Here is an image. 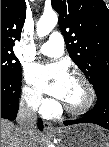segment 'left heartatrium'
Here are the masks:
<instances>
[{
    "instance_id": "obj_1",
    "label": "left heart atrium",
    "mask_w": 109,
    "mask_h": 147,
    "mask_svg": "<svg viewBox=\"0 0 109 147\" xmlns=\"http://www.w3.org/2000/svg\"><path fill=\"white\" fill-rule=\"evenodd\" d=\"M26 77L43 92L60 99L70 79L62 64L31 65L26 71Z\"/></svg>"
}]
</instances>
